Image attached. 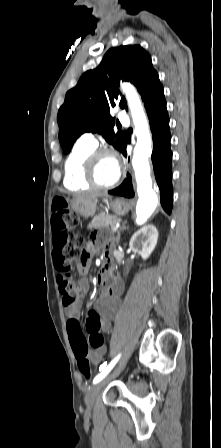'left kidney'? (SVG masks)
I'll return each instance as SVG.
<instances>
[{"mask_svg": "<svg viewBox=\"0 0 221 448\" xmlns=\"http://www.w3.org/2000/svg\"><path fill=\"white\" fill-rule=\"evenodd\" d=\"M158 241V231L155 226L147 225L134 233L131 237L129 246L133 252L139 253L143 260H146Z\"/></svg>", "mask_w": 221, "mask_h": 448, "instance_id": "obj_1", "label": "left kidney"}]
</instances>
